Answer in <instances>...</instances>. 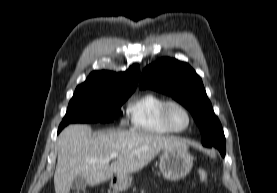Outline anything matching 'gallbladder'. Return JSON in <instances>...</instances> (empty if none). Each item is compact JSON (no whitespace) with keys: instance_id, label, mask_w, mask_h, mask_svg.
I'll list each match as a JSON object with an SVG mask.
<instances>
[{"instance_id":"bac80fb5","label":"gallbladder","mask_w":277,"mask_h":193,"mask_svg":"<svg viewBox=\"0 0 277 193\" xmlns=\"http://www.w3.org/2000/svg\"><path fill=\"white\" fill-rule=\"evenodd\" d=\"M86 187H87V182L81 176L74 178V180L72 181L71 188L73 190H84Z\"/></svg>"}]
</instances>
